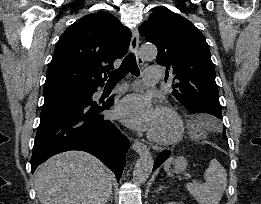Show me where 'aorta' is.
Masks as SVG:
<instances>
[{"instance_id":"obj_1","label":"aorta","mask_w":261,"mask_h":204,"mask_svg":"<svg viewBox=\"0 0 261 204\" xmlns=\"http://www.w3.org/2000/svg\"><path fill=\"white\" fill-rule=\"evenodd\" d=\"M140 54L144 59H154L157 56V48L154 45H142ZM154 160L151 155L142 156L136 163L133 171L134 183L141 185L149 178Z\"/></svg>"}]
</instances>
